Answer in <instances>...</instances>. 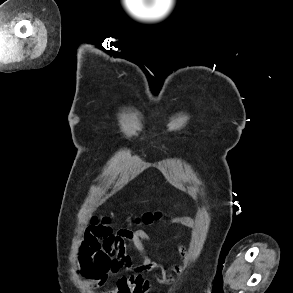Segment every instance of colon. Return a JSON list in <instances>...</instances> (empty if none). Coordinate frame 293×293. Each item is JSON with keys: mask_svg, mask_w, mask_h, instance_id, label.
<instances>
[{"mask_svg": "<svg viewBox=\"0 0 293 293\" xmlns=\"http://www.w3.org/2000/svg\"><path fill=\"white\" fill-rule=\"evenodd\" d=\"M167 213L163 211H146L136 218H134V223L151 225L156 222H160L167 217ZM90 225L93 230L102 231L105 229H110L111 220L108 217L98 218L94 216L91 219Z\"/></svg>", "mask_w": 293, "mask_h": 293, "instance_id": "colon-1", "label": "colon"}]
</instances>
